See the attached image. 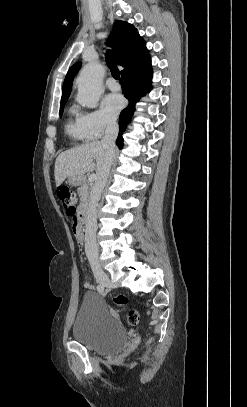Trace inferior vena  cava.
Segmentation results:
<instances>
[{"label": "inferior vena cava", "mask_w": 247, "mask_h": 407, "mask_svg": "<svg viewBox=\"0 0 247 407\" xmlns=\"http://www.w3.org/2000/svg\"><path fill=\"white\" fill-rule=\"evenodd\" d=\"M117 135H118V125L116 121L113 120L108 121L105 130V135L101 140V144L109 151L110 157L105 168L97 177V180L93 186L91 199L88 207V216L85 230V252L91 264L98 263V247L96 242V231H97L96 207L100 199L102 190L104 189L108 179L111 164L114 158V152L116 147L115 140L117 138Z\"/></svg>", "instance_id": "1"}]
</instances>
